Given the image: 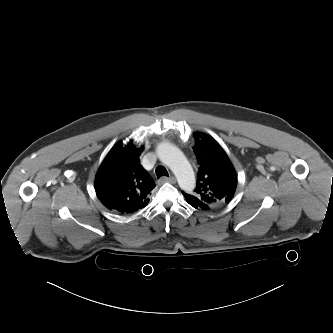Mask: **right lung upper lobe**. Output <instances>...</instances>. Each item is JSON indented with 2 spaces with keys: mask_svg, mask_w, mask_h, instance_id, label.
<instances>
[{
  "mask_svg": "<svg viewBox=\"0 0 333 333\" xmlns=\"http://www.w3.org/2000/svg\"><path fill=\"white\" fill-rule=\"evenodd\" d=\"M142 151L143 147L135 148L132 141L126 146L118 142L102 162L95 179V191L108 209L127 214L148 204V195L155 183L140 164Z\"/></svg>",
  "mask_w": 333,
  "mask_h": 333,
  "instance_id": "obj_1",
  "label": "right lung upper lobe"
}]
</instances>
